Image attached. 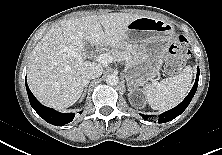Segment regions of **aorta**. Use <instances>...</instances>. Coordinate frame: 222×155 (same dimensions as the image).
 Listing matches in <instances>:
<instances>
[{"label": "aorta", "instance_id": "762f6f07", "mask_svg": "<svg viewBox=\"0 0 222 155\" xmlns=\"http://www.w3.org/2000/svg\"><path fill=\"white\" fill-rule=\"evenodd\" d=\"M118 82H119V78H118V76L117 75H108L107 77H106V83L108 84V85H111V86H115V85H117L118 84Z\"/></svg>", "mask_w": 222, "mask_h": 155}]
</instances>
